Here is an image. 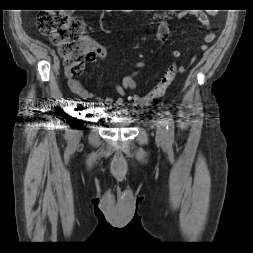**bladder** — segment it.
<instances>
[{
	"instance_id": "1",
	"label": "bladder",
	"mask_w": 253,
	"mask_h": 253,
	"mask_svg": "<svg viewBox=\"0 0 253 253\" xmlns=\"http://www.w3.org/2000/svg\"><path fill=\"white\" fill-rule=\"evenodd\" d=\"M105 119L107 123L117 127H128L134 122L133 118L124 110L105 112Z\"/></svg>"
}]
</instances>
